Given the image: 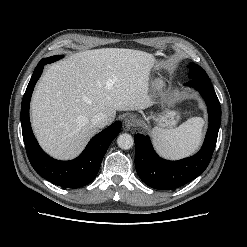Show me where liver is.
<instances>
[{
    "label": "liver",
    "instance_id": "liver-1",
    "mask_svg": "<svg viewBox=\"0 0 247 247\" xmlns=\"http://www.w3.org/2000/svg\"><path fill=\"white\" fill-rule=\"evenodd\" d=\"M154 63L143 51L102 48L51 65L31 102L33 131L41 147L52 157L72 159L97 133L94 115L104 113L112 123L116 111L148 107Z\"/></svg>",
    "mask_w": 247,
    "mask_h": 247
}]
</instances>
